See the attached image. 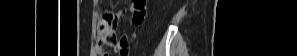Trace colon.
Returning a JSON list of instances; mask_svg holds the SVG:
<instances>
[{
  "label": "colon",
  "mask_w": 297,
  "mask_h": 56,
  "mask_svg": "<svg viewBox=\"0 0 297 56\" xmlns=\"http://www.w3.org/2000/svg\"><path fill=\"white\" fill-rule=\"evenodd\" d=\"M134 24H140L146 17L147 1L134 0L131 6ZM99 44L102 46H118L117 21L112 14L104 15L99 22Z\"/></svg>",
  "instance_id": "colon-1"
}]
</instances>
